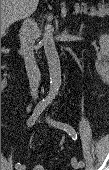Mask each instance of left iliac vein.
Instances as JSON below:
<instances>
[{"label":"left iliac vein","mask_w":109,"mask_h":170,"mask_svg":"<svg viewBox=\"0 0 109 170\" xmlns=\"http://www.w3.org/2000/svg\"><path fill=\"white\" fill-rule=\"evenodd\" d=\"M71 164H72L73 168H75V169L82 168V166L79 164L78 160L75 159V158H73V159L71 160Z\"/></svg>","instance_id":"4c4485c4"}]
</instances>
